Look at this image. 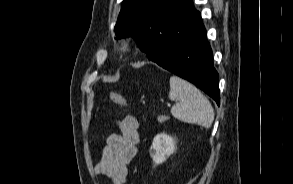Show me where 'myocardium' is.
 Instances as JSON below:
<instances>
[{
	"label": "myocardium",
	"instance_id": "f54148a6",
	"mask_svg": "<svg viewBox=\"0 0 293 184\" xmlns=\"http://www.w3.org/2000/svg\"><path fill=\"white\" fill-rule=\"evenodd\" d=\"M117 50L123 54H128L133 50V43L129 38L121 39L117 44Z\"/></svg>",
	"mask_w": 293,
	"mask_h": 184
}]
</instances>
